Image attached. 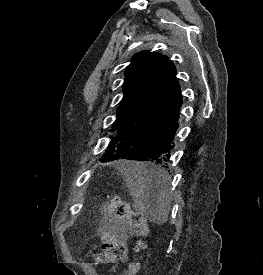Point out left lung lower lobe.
<instances>
[{
    "label": "left lung lower lobe",
    "mask_w": 263,
    "mask_h": 275,
    "mask_svg": "<svg viewBox=\"0 0 263 275\" xmlns=\"http://www.w3.org/2000/svg\"><path fill=\"white\" fill-rule=\"evenodd\" d=\"M182 105L181 88L172 64L159 83L145 96L131 116L120 126L99 159L147 161L150 166L166 165L178 129ZM173 144V145H172Z\"/></svg>",
    "instance_id": "0a47b994"
}]
</instances>
